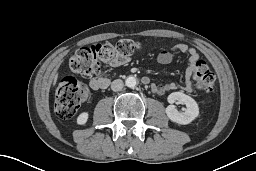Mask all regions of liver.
Returning a JSON list of instances; mask_svg holds the SVG:
<instances>
[{
  "label": "liver",
  "mask_w": 256,
  "mask_h": 171,
  "mask_svg": "<svg viewBox=\"0 0 256 171\" xmlns=\"http://www.w3.org/2000/svg\"><path fill=\"white\" fill-rule=\"evenodd\" d=\"M57 77H58V75L56 74L55 77H54V83L53 84L56 83Z\"/></svg>",
  "instance_id": "obj_1"
}]
</instances>
